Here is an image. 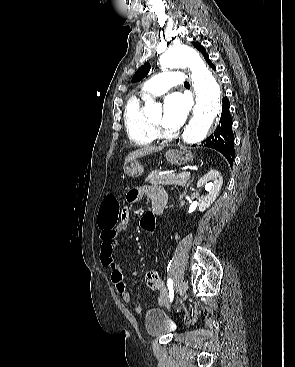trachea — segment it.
Wrapping results in <instances>:
<instances>
[{
  "instance_id": "3493384b",
  "label": "trachea",
  "mask_w": 295,
  "mask_h": 367,
  "mask_svg": "<svg viewBox=\"0 0 295 367\" xmlns=\"http://www.w3.org/2000/svg\"><path fill=\"white\" fill-rule=\"evenodd\" d=\"M184 86H185V87H189V82H185V83H184Z\"/></svg>"
}]
</instances>
